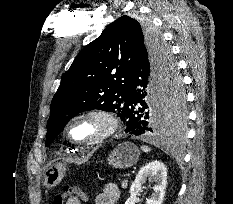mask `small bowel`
Listing matches in <instances>:
<instances>
[{
	"mask_svg": "<svg viewBox=\"0 0 233 204\" xmlns=\"http://www.w3.org/2000/svg\"><path fill=\"white\" fill-rule=\"evenodd\" d=\"M120 191L115 183H108L95 197V204H116Z\"/></svg>",
	"mask_w": 233,
	"mask_h": 204,
	"instance_id": "obj_1",
	"label": "small bowel"
}]
</instances>
